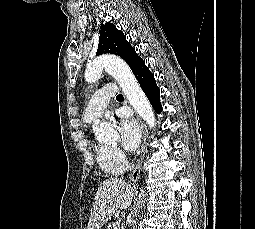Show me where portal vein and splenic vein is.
<instances>
[{
    "mask_svg": "<svg viewBox=\"0 0 255 229\" xmlns=\"http://www.w3.org/2000/svg\"><path fill=\"white\" fill-rule=\"evenodd\" d=\"M114 229H120L119 223H117V225L114 227Z\"/></svg>",
    "mask_w": 255,
    "mask_h": 229,
    "instance_id": "18ae733b",
    "label": "portal vein and splenic vein"
}]
</instances>
